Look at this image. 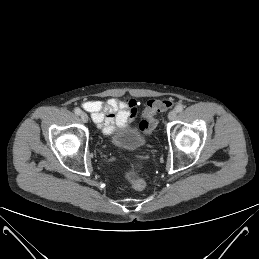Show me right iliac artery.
Masks as SVG:
<instances>
[{
	"label": "right iliac artery",
	"mask_w": 259,
	"mask_h": 259,
	"mask_svg": "<svg viewBox=\"0 0 259 259\" xmlns=\"http://www.w3.org/2000/svg\"><path fill=\"white\" fill-rule=\"evenodd\" d=\"M75 114L80 115L81 114V110L79 108H75L74 110Z\"/></svg>",
	"instance_id": "right-iliac-artery-1"
}]
</instances>
